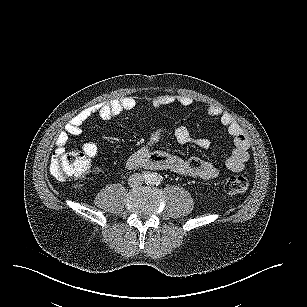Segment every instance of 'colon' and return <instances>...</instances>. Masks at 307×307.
<instances>
[{
  "instance_id": "1",
  "label": "colon",
  "mask_w": 307,
  "mask_h": 307,
  "mask_svg": "<svg viewBox=\"0 0 307 307\" xmlns=\"http://www.w3.org/2000/svg\"><path fill=\"white\" fill-rule=\"evenodd\" d=\"M50 171L60 180H81L88 176L92 169L88 157L79 150L54 154L51 159ZM249 181L242 175H230L224 182L228 194L239 195L247 191Z\"/></svg>"
}]
</instances>
